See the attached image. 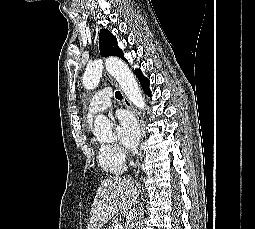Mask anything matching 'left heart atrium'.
Returning a JSON list of instances; mask_svg holds the SVG:
<instances>
[{
	"instance_id": "39dd6f15",
	"label": "left heart atrium",
	"mask_w": 255,
	"mask_h": 229,
	"mask_svg": "<svg viewBox=\"0 0 255 229\" xmlns=\"http://www.w3.org/2000/svg\"><path fill=\"white\" fill-rule=\"evenodd\" d=\"M116 132L120 142L128 149H134L139 140V130L132 117L118 113Z\"/></svg>"
}]
</instances>
